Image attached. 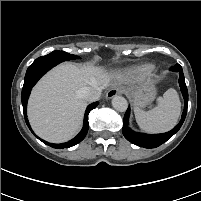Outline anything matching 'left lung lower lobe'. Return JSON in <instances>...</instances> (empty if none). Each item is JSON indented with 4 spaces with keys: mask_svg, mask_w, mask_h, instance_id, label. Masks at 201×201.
<instances>
[{
    "mask_svg": "<svg viewBox=\"0 0 201 201\" xmlns=\"http://www.w3.org/2000/svg\"><path fill=\"white\" fill-rule=\"evenodd\" d=\"M170 70L178 72L180 75L179 85L181 87V92L183 94L184 104H185L182 118L180 122L174 127V129H172L169 132L162 133V134H144V133L135 132L129 128L128 121H129L130 110L128 109L124 115L122 132L124 137L128 141H130L131 143L139 147L156 148L160 146L161 144L166 142L168 139H170L176 132H178V130L181 128L185 120V117L187 114V106H188V90L185 84L183 70L179 64H176L175 66L171 67Z\"/></svg>",
    "mask_w": 201,
    "mask_h": 201,
    "instance_id": "obj_1",
    "label": "left lung lower lobe"
}]
</instances>
